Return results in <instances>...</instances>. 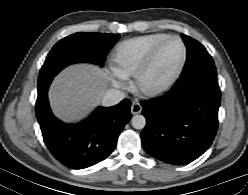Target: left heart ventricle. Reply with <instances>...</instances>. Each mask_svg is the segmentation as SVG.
<instances>
[{"instance_id": "b2bd125f", "label": "left heart ventricle", "mask_w": 248, "mask_h": 195, "mask_svg": "<svg viewBox=\"0 0 248 195\" xmlns=\"http://www.w3.org/2000/svg\"><path fill=\"white\" fill-rule=\"evenodd\" d=\"M183 54L178 40H171L162 49L155 67L147 78V84L154 86L168 79L177 69Z\"/></svg>"}]
</instances>
